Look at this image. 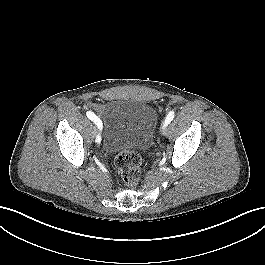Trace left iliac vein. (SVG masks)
I'll return each mask as SVG.
<instances>
[{
  "label": "left iliac vein",
  "instance_id": "4c4485c4",
  "mask_svg": "<svg viewBox=\"0 0 265 265\" xmlns=\"http://www.w3.org/2000/svg\"><path fill=\"white\" fill-rule=\"evenodd\" d=\"M163 133L166 134L167 133V128L166 125L163 126Z\"/></svg>",
  "mask_w": 265,
  "mask_h": 265
}]
</instances>
